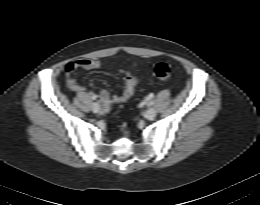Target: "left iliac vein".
<instances>
[{"instance_id":"1","label":"left iliac vein","mask_w":260,"mask_h":205,"mask_svg":"<svg viewBox=\"0 0 260 205\" xmlns=\"http://www.w3.org/2000/svg\"><path fill=\"white\" fill-rule=\"evenodd\" d=\"M156 116V110L154 108H149L146 112H145V117L149 120L154 119Z\"/></svg>"}]
</instances>
